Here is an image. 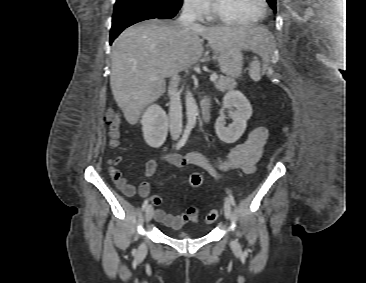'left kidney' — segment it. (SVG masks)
I'll return each mask as SVG.
<instances>
[{"label":"left kidney","mask_w":366,"mask_h":283,"mask_svg":"<svg viewBox=\"0 0 366 283\" xmlns=\"http://www.w3.org/2000/svg\"><path fill=\"white\" fill-rule=\"evenodd\" d=\"M225 109L228 110V117L233 121L227 127L225 126ZM251 115L252 107L248 99L242 93L239 91H230L226 93L223 99V107L220 116L215 123V130L219 139L225 143L236 142L244 133L247 127V120Z\"/></svg>","instance_id":"1"}]
</instances>
